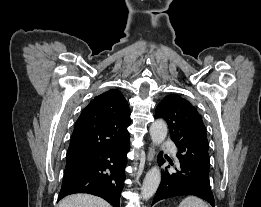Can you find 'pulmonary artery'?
Masks as SVG:
<instances>
[{"label": "pulmonary artery", "mask_w": 261, "mask_h": 207, "mask_svg": "<svg viewBox=\"0 0 261 207\" xmlns=\"http://www.w3.org/2000/svg\"><path fill=\"white\" fill-rule=\"evenodd\" d=\"M163 148L168 149V150H174V144L171 141H165L163 143Z\"/></svg>", "instance_id": "obj_1"}]
</instances>
